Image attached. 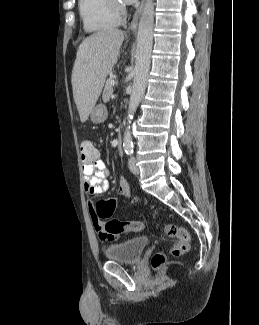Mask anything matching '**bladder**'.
<instances>
[{
  "label": "bladder",
  "instance_id": "1",
  "mask_svg": "<svg viewBox=\"0 0 259 325\" xmlns=\"http://www.w3.org/2000/svg\"><path fill=\"white\" fill-rule=\"evenodd\" d=\"M149 245L147 237H136L126 242L108 246L104 254L107 259L120 263H137Z\"/></svg>",
  "mask_w": 259,
  "mask_h": 325
}]
</instances>
